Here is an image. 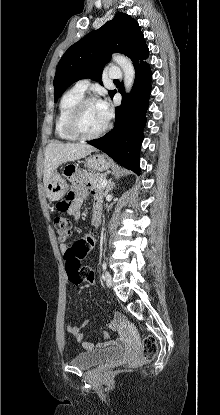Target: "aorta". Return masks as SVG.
I'll list each match as a JSON object with an SVG mask.
<instances>
[{
	"label": "aorta",
	"mask_w": 220,
	"mask_h": 415,
	"mask_svg": "<svg viewBox=\"0 0 220 415\" xmlns=\"http://www.w3.org/2000/svg\"><path fill=\"white\" fill-rule=\"evenodd\" d=\"M113 61L117 63L121 69L123 70L124 74V87L127 93H129L132 89L135 80V69L130 59L127 57L114 54Z\"/></svg>",
	"instance_id": "obj_1"
}]
</instances>
